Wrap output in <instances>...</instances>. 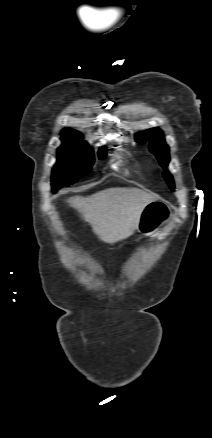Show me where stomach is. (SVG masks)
Segmentation results:
<instances>
[{
	"label": "stomach",
	"mask_w": 212,
	"mask_h": 438,
	"mask_svg": "<svg viewBox=\"0 0 212 438\" xmlns=\"http://www.w3.org/2000/svg\"><path fill=\"white\" fill-rule=\"evenodd\" d=\"M172 217V211L167 204L154 200L143 209L137 230L145 236L156 237Z\"/></svg>",
	"instance_id": "1"
}]
</instances>
